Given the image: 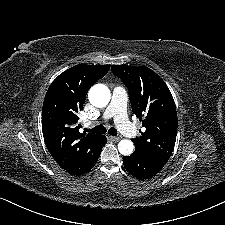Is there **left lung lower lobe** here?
<instances>
[{
  "instance_id": "obj_1",
  "label": "left lung lower lobe",
  "mask_w": 225,
  "mask_h": 225,
  "mask_svg": "<svg viewBox=\"0 0 225 225\" xmlns=\"http://www.w3.org/2000/svg\"><path fill=\"white\" fill-rule=\"evenodd\" d=\"M126 170L139 180L155 176L165 165V162L150 158L143 153L134 151L130 156H123Z\"/></svg>"
}]
</instances>
